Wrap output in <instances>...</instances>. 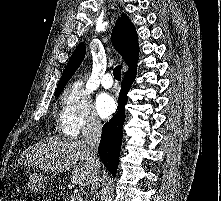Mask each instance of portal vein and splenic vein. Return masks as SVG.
I'll return each mask as SVG.
<instances>
[{
    "label": "portal vein and splenic vein",
    "mask_w": 221,
    "mask_h": 201,
    "mask_svg": "<svg viewBox=\"0 0 221 201\" xmlns=\"http://www.w3.org/2000/svg\"><path fill=\"white\" fill-rule=\"evenodd\" d=\"M81 200L82 198L80 193H76L70 197V201H81Z\"/></svg>",
    "instance_id": "1"
}]
</instances>
